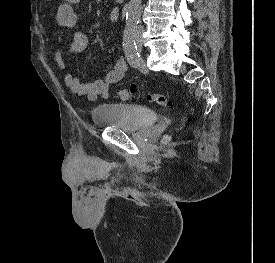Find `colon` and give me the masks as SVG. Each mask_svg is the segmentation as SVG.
Segmentation results:
<instances>
[{
	"instance_id": "colon-1",
	"label": "colon",
	"mask_w": 275,
	"mask_h": 263,
	"mask_svg": "<svg viewBox=\"0 0 275 263\" xmlns=\"http://www.w3.org/2000/svg\"><path fill=\"white\" fill-rule=\"evenodd\" d=\"M115 95L119 100H122V101H132L136 98V92H135V89L133 88L120 89L116 92ZM147 99L150 102L159 106L166 107L171 104V100L163 94L148 93Z\"/></svg>"
}]
</instances>
